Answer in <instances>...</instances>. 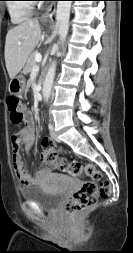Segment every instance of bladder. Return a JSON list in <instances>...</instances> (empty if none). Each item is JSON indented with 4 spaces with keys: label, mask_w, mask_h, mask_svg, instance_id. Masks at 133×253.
I'll use <instances>...</instances> for the list:
<instances>
[{
    "label": "bladder",
    "mask_w": 133,
    "mask_h": 253,
    "mask_svg": "<svg viewBox=\"0 0 133 253\" xmlns=\"http://www.w3.org/2000/svg\"><path fill=\"white\" fill-rule=\"evenodd\" d=\"M23 200L34 203L41 210L46 212L55 211L60 205L63 194L58 191H51L41 185H29L20 189Z\"/></svg>",
    "instance_id": "31cf9c89"
}]
</instances>
